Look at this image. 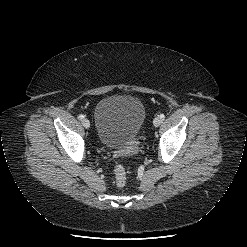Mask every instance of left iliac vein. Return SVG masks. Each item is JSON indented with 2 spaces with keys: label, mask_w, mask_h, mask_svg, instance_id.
I'll return each mask as SVG.
<instances>
[{
  "label": "left iliac vein",
  "mask_w": 247,
  "mask_h": 247,
  "mask_svg": "<svg viewBox=\"0 0 247 247\" xmlns=\"http://www.w3.org/2000/svg\"><path fill=\"white\" fill-rule=\"evenodd\" d=\"M160 124H161V118H160V117L154 118V120H153V125H154L155 127H158Z\"/></svg>",
  "instance_id": "1"
}]
</instances>
